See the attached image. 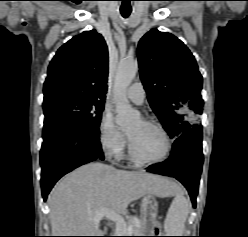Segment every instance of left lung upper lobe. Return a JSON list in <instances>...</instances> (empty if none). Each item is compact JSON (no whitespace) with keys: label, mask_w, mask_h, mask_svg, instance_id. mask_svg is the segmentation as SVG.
<instances>
[{"label":"left lung upper lobe","mask_w":248,"mask_h":237,"mask_svg":"<svg viewBox=\"0 0 248 237\" xmlns=\"http://www.w3.org/2000/svg\"><path fill=\"white\" fill-rule=\"evenodd\" d=\"M137 54L148 101L170 137L199 127L203 79L190 50L174 35L153 29L140 39Z\"/></svg>","instance_id":"5c2ea615"}]
</instances>
